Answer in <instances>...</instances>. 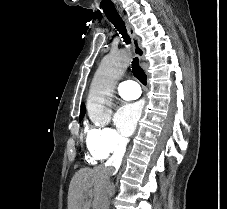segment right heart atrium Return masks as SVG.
Segmentation results:
<instances>
[{"label": "right heart atrium", "instance_id": "1", "mask_svg": "<svg viewBox=\"0 0 227 209\" xmlns=\"http://www.w3.org/2000/svg\"><path fill=\"white\" fill-rule=\"evenodd\" d=\"M86 142L102 159H108L125 151L128 138L112 128L93 127L86 132Z\"/></svg>", "mask_w": 227, "mask_h": 209}]
</instances>
